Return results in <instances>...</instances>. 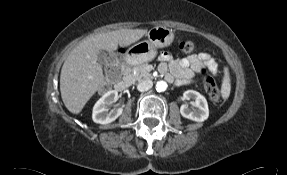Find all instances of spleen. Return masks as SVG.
<instances>
[{"label":"spleen","instance_id":"obj_1","mask_svg":"<svg viewBox=\"0 0 287 175\" xmlns=\"http://www.w3.org/2000/svg\"><path fill=\"white\" fill-rule=\"evenodd\" d=\"M231 91V80L229 70L227 67L224 68V77L221 86V95L224 100L228 99Z\"/></svg>","mask_w":287,"mask_h":175}]
</instances>
